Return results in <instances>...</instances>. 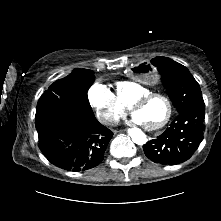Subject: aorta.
<instances>
[{"instance_id":"obj_1","label":"aorta","mask_w":221,"mask_h":221,"mask_svg":"<svg viewBox=\"0 0 221 221\" xmlns=\"http://www.w3.org/2000/svg\"><path fill=\"white\" fill-rule=\"evenodd\" d=\"M128 134L135 144L143 145L147 142L146 134L139 128H136V127L130 128L128 130Z\"/></svg>"}]
</instances>
